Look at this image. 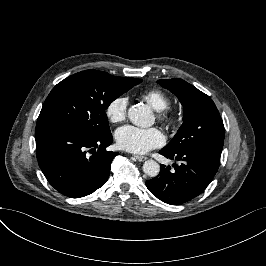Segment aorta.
<instances>
[{"label":"aorta","instance_id":"obj_1","mask_svg":"<svg viewBox=\"0 0 266 266\" xmlns=\"http://www.w3.org/2000/svg\"><path fill=\"white\" fill-rule=\"evenodd\" d=\"M129 121L139 127H148L154 123V116L146 105H133L127 110ZM143 172L150 178L156 177L160 172V165L153 160L143 164Z\"/></svg>","mask_w":266,"mask_h":266}]
</instances>
